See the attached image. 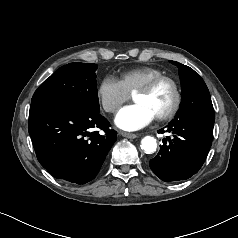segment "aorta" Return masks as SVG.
<instances>
[{
    "label": "aorta",
    "instance_id": "762f6f07",
    "mask_svg": "<svg viewBox=\"0 0 238 238\" xmlns=\"http://www.w3.org/2000/svg\"><path fill=\"white\" fill-rule=\"evenodd\" d=\"M141 149L146 153V154H152L156 151L157 149V142L154 137L151 136H145L141 140Z\"/></svg>",
    "mask_w": 238,
    "mask_h": 238
}]
</instances>
